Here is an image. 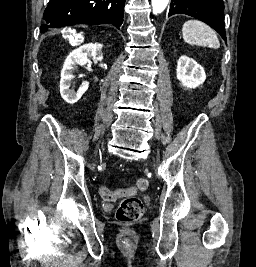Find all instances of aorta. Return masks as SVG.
<instances>
[{"instance_id": "aorta-1", "label": "aorta", "mask_w": 256, "mask_h": 267, "mask_svg": "<svg viewBox=\"0 0 256 267\" xmlns=\"http://www.w3.org/2000/svg\"><path fill=\"white\" fill-rule=\"evenodd\" d=\"M169 0H151L153 14H162L166 10Z\"/></svg>"}]
</instances>
